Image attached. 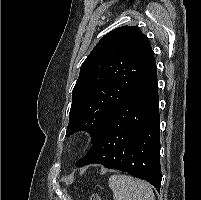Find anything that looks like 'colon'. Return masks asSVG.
<instances>
[{
	"label": "colon",
	"mask_w": 201,
	"mask_h": 200,
	"mask_svg": "<svg viewBox=\"0 0 201 200\" xmlns=\"http://www.w3.org/2000/svg\"><path fill=\"white\" fill-rule=\"evenodd\" d=\"M90 200H101V198L96 195V194H93L91 197H90Z\"/></svg>",
	"instance_id": "5ec220e1"
}]
</instances>
